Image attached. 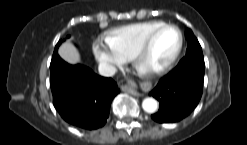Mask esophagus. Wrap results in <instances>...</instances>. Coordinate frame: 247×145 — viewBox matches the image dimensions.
<instances>
[{"label":"esophagus","instance_id":"1","mask_svg":"<svg viewBox=\"0 0 247 145\" xmlns=\"http://www.w3.org/2000/svg\"><path fill=\"white\" fill-rule=\"evenodd\" d=\"M121 89L124 92L130 93L134 96H141V94L136 90V86L134 83L128 84V85H122Z\"/></svg>","mask_w":247,"mask_h":145}]
</instances>
